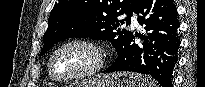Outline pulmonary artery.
<instances>
[{"label": "pulmonary artery", "mask_w": 205, "mask_h": 87, "mask_svg": "<svg viewBox=\"0 0 205 87\" xmlns=\"http://www.w3.org/2000/svg\"><path fill=\"white\" fill-rule=\"evenodd\" d=\"M130 21H131L132 26L138 25V22L135 16L130 17Z\"/></svg>", "instance_id": "obj_1"}]
</instances>
